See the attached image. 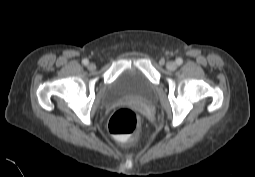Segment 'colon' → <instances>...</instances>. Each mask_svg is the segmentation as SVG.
Wrapping results in <instances>:
<instances>
[{
    "mask_svg": "<svg viewBox=\"0 0 255 177\" xmlns=\"http://www.w3.org/2000/svg\"><path fill=\"white\" fill-rule=\"evenodd\" d=\"M140 125V118L135 111L121 108L111 116L108 129L117 139L127 141L139 131Z\"/></svg>",
    "mask_w": 255,
    "mask_h": 177,
    "instance_id": "5ec220e1",
    "label": "colon"
}]
</instances>
